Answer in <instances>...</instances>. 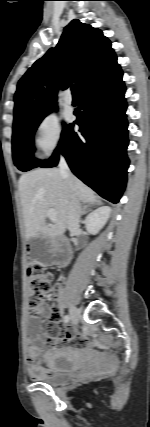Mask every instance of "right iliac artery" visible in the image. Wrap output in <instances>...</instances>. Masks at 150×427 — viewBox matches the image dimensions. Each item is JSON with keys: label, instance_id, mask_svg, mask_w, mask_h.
Masks as SVG:
<instances>
[{"label": "right iliac artery", "instance_id": "obj_1", "mask_svg": "<svg viewBox=\"0 0 150 427\" xmlns=\"http://www.w3.org/2000/svg\"><path fill=\"white\" fill-rule=\"evenodd\" d=\"M64 321H65L66 323H68V322L70 321V317H69V315H65V316H64Z\"/></svg>", "mask_w": 150, "mask_h": 427}]
</instances>
